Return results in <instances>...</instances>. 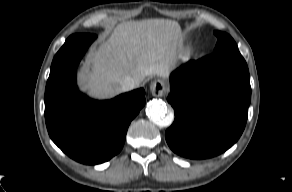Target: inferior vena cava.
<instances>
[{"label": "inferior vena cava", "mask_w": 292, "mask_h": 192, "mask_svg": "<svg viewBox=\"0 0 292 192\" xmlns=\"http://www.w3.org/2000/svg\"><path fill=\"white\" fill-rule=\"evenodd\" d=\"M120 84L123 91H130L136 87L135 80L129 76L121 80Z\"/></svg>", "instance_id": "obj_1"}]
</instances>
